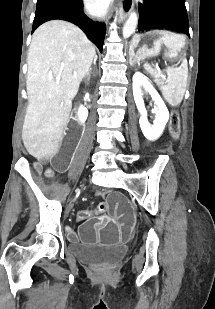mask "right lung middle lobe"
<instances>
[{
	"instance_id": "dd1d6c3e",
	"label": "right lung middle lobe",
	"mask_w": 215,
	"mask_h": 309,
	"mask_svg": "<svg viewBox=\"0 0 215 309\" xmlns=\"http://www.w3.org/2000/svg\"><path fill=\"white\" fill-rule=\"evenodd\" d=\"M83 3L80 0H37L36 13L49 8H81Z\"/></svg>"
}]
</instances>
